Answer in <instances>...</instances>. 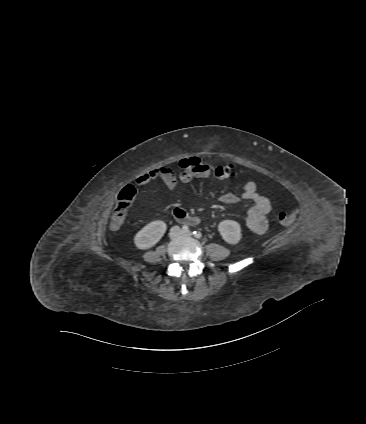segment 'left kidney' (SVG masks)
I'll use <instances>...</instances> for the list:
<instances>
[{"mask_svg": "<svg viewBox=\"0 0 366 424\" xmlns=\"http://www.w3.org/2000/svg\"><path fill=\"white\" fill-rule=\"evenodd\" d=\"M218 231L228 244H237L241 239L240 224L234 220H224L219 223Z\"/></svg>", "mask_w": 366, "mask_h": 424, "instance_id": "1", "label": "left kidney"}]
</instances>
